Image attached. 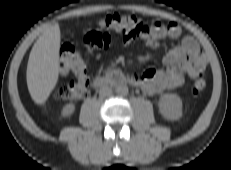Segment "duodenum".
Wrapping results in <instances>:
<instances>
[{"label": "duodenum", "instance_id": "duodenum-1", "mask_svg": "<svg viewBox=\"0 0 231 170\" xmlns=\"http://www.w3.org/2000/svg\"><path fill=\"white\" fill-rule=\"evenodd\" d=\"M133 81L122 76L119 72H114L110 74L107 78L98 77L93 81V86L97 89L102 88L106 85H122L131 84Z\"/></svg>", "mask_w": 231, "mask_h": 170}]
</instances>
